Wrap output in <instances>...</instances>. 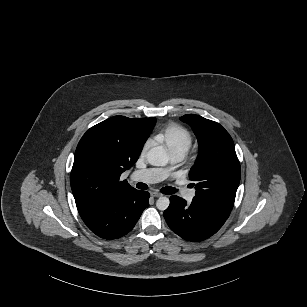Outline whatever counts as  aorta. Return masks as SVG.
<instances>
[{"label":"aorta","instance_id":"762f6f07","mask_svg":"<svg viewBox=\"0 0 307 307\" xmlns=\"http://www.w3.org/2000/svg\"><path fill=\"white\" fill-rule=\"evenodd\" d=\"M147 161L153 166H165L169 162L167 150L163 146H156L147 152ZM170 200L168 197L161 196L156 201V206L159 210L164 211L168 208Z\"/></svg>","mask_w":307,"mask_h":307}]
</instances>
